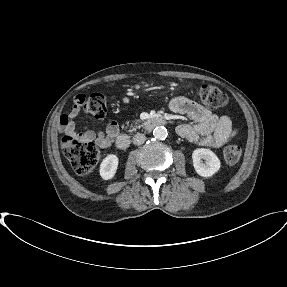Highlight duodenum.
Wrapping results in <instances>:
<instances>
[{"instance_id": "duodenum-1", "label": "duodenum", "mask_w": 287, "mask_h": 287, "mask_svg": "<svg viewBox=\"0 0 287 287\" xmlns=\"http://www.w3.org/2000/svg\"><path fill=\"white\" fill-rule=\"evenodd\" d=\"M166 123V119L158 116V115H154L149 117L148 119L144 120L141 123V127L144 130L147 131H151L153 129H155L158 126L164 125ZM115 146L117 149L119 150H125L128 148L129 143H130V138L128 135L126 134H119L115 140H114Z\"/></svg>"}]
</instances>
